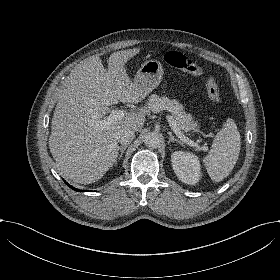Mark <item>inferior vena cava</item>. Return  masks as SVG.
Instances as JSON below:
<instances>
[{
    "label": "inferior vena cava",
    "instance_id": "1",
    "mask_svg": "<svg viewBox=\"0 0 280 280\" xmlns=\"http://www.w3.org/2000/svg\"><path fill=\"white\" fill-rule=\"evenodd\" d=\"M119 142L123 145L130 144L135 138V131L127 129L116 133Z\"/></svg>",
    "mask_w": 280,
    "mask_h": 280
}]
</instances>
